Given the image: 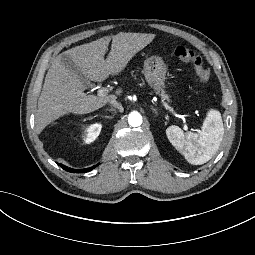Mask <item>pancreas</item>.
<instances>
[{
  "label": "pancreas",
  "mask_w": 255,
  "mask_h": 255,
  "mask_svg": "<svg viewBox=\"0 0 255 255\" xmlns=\"http://www.w3.org/2000/svg\"><path fill=\"white\" fill-rule=\"evenodd\" d=\"M156 94H159L163 100L169 101V96L165 93L164 90L156 91Z\"/></svg>",
  "instance_id": "obj_1"
}]
</instances>
